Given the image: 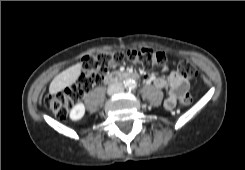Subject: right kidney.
I'll return each mask as SVG.
<instances>
[{"label": "right kidney", "mask_w": 245, "mask_h": 170, "mask_svg": "<svg viewBox=\"0 0 245 170\" xmlns=\"http://www.w3.org/2000/svg\"><path fill=\"white\" fill-rule=\"evenodd\" d=\"M85 114V106L83 103L76 104L70 111V119L73 121L80 120Z\"/></svg>", "instance_id": "right-kidney-1"}]
</instances>
